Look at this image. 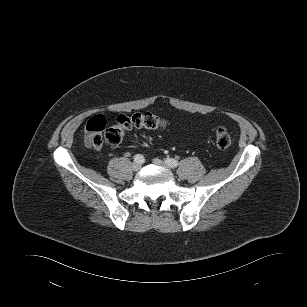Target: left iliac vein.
Here are the masks:
<instances>
[{
	"label": "left iliac vein",
	"instance_id": "obj_1",
	"mask_svg": "<svg viewBox=\"0 0 307 307\" xmlns=\"http://www.w3.org/2000/svg\"><path fill=\"white\" fill-rule=\"evenodd\" d=\"M153 163L158 165V166H163V167L168 168V169L170 168L169 165H167L166 163H164L163 161H161L158 158L153 159Z\"/></svg>",
	"mask_w": 307,
	"mask_h": 307
}]
</instances>
